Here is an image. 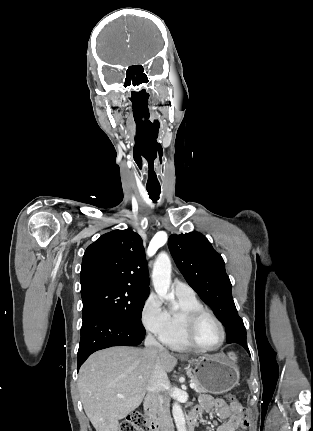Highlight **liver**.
<instances>
[{
	"label": "liver",
	"mask_w": 313,
	"mask_h": 431,
	"mask_svg": "<svg viewBox=\"0 0 313 431\" xmlns=\"http://www.w3.org/2000/svg\"><path fill=\"white\" fill-rule=\"evenodd\" d=\"M156 355L147 349L112 347L92 354L83 364L78 389L96 431H118L119 420L142 403ZM158 356L163 370L171 372L177 359L167 351Z\"/></svg>",
	"instance_id": "6515ba94"
}]
</instances>
